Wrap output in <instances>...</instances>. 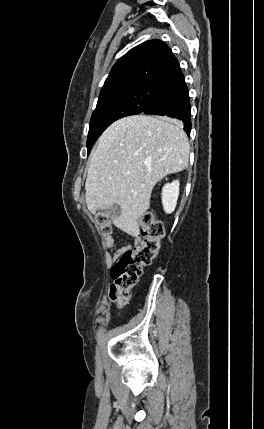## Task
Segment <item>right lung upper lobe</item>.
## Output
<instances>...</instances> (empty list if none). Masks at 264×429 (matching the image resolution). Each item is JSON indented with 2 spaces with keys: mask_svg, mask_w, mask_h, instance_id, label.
Listing matches in <instances>:
<instances>
[{
  "mask_svg": "<svg viewBox=\"0 0 264 429\" xmlns=\"http://www.w3.org/2000/svg\"><path fill=\"white\" fill-rule=\"evenodd\" d=\"M179 68L178 60L164 42L146 41L115 63L100 96L135 85L161 86Z\"/></svg>",
  "mask_w": 264,
  "mask_h": 429,
  "instance_id": "obj_1",
  "label": "right lung upper lobe"
}]
</instances>
